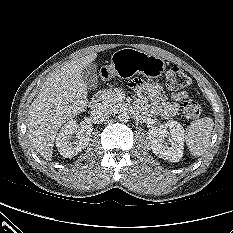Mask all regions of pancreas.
<instances>
[{
    "label": "pancreas",
    "mask_w": 233,
    "mask_h": 233,
    "mask_svg": "<svg viewBox=\"0 0 233 233\" xmlns=\"http://www.w3.org/2000/svg\"><path fill=\"white\" fill-rule=\"evenodd\" d=\"M120 92L119 88H115L114 90H101L100 91V98L103 103L111 107H117L123 104V101L118 98V93Z\"/></svg>",
    "instance_id": "cf45deb5"
}]
</instances>
